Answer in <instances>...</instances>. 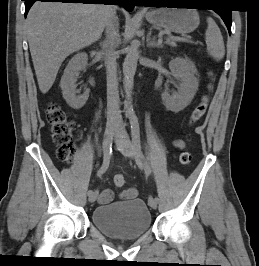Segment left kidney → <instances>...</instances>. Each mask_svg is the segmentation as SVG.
<instances>
[{"label": "left kidney", "mask_w": 259, "mask_h": 266, "mask_svg": "<svg viewBox=\"0 0 259 266\" xmlns=\"http://www.w3.org/2000/svg\"><path fill=\"white\" fill-rule=\"evenodd\" d=\"M169 69L172 76L179 81L178 92L170 94L165 89L161 97L169 111L178 113L191 103L198 90L197 69L190 59L181 57L170 61Z\"/></svg>", "instance_id": "1"}]
</instances>
